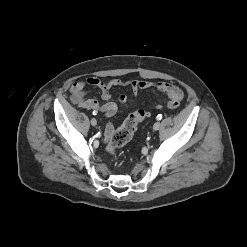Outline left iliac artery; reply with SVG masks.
<instances>
[{"mask_svg": "<svg viewBox=\"0 0 247 247\" xmlns=\"http://www.w3.org/2000/svg\"><path fill=\"white\" fill-rule=\"evenodd\" d=\"M157 120H161L162 119V115L159 114L157 117H156Z\"/></svg>", "mask_w": 247, "mask_h": 247, "instance_id": "44dca946", "label": "left iliac artery"}]
</instances>
